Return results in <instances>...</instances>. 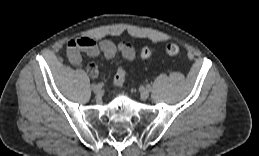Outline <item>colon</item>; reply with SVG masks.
Instances as JSON below:
<instances>
[{"label":"colon","instance_id":"obj_1","mask_svg":"<svg viewBox=\"0 0 259 156\" xmlns=\"http://www.w3.org/2000/svg\"><path fill=\"white\" fill-rule=\"evenodd\" d=\"M165 52L170 57H176L181 53V49L175 43H168L165 46ZM152 55H153V49L151 47L144 46L141 49V52H140L141 58L149 59L150 57H152ZM125 78H126V71L122 66H120L117 69L116 74L114 76V84L119 88L123 87L125 84Z\"/></svg>","mask_w":259,"mask_h":156}]
</instances>
